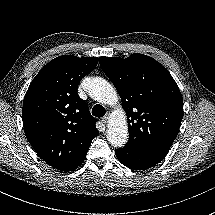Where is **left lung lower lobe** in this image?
<instances>
[{
	"label": "left lung lower lobe",
	"instance_id": "obj_1",
	"mask_svg": "<svg viewBox=\"0 0 215 215\" xmlns=\"http://www.w3.org/2000/svg\"><path fill=\"white\" fill-rule=\"evenodd\" d=\"M170 149H136L123 147L115 149L118 160L125 166L134 170H144L159 163Z\"/></svg>",
	"mask_w": 215,
	"mask_h": 215
}]
</instances>
